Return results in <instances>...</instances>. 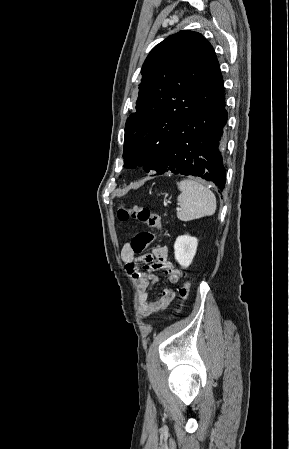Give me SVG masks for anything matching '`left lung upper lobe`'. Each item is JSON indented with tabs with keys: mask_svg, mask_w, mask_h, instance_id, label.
<instances>
[{
	"mask_svg": "<svg viewBox=\"0 0 289 449\" xmlns=\"http://www.w3.org/2000/svg\"><path fill=\"white\" fill-rule=\"evenodd\" d=\"M215 60L211 44L189 30L151 50L141 69L136 112L126 121L125 167L143 166L146 172H157L175 126L191 111Z\"/></svg>",
	"mask_w": 289,
	"mask_h": 449,
	"instance_id": "left-lung-upper-lobe-1",
	"label": "left lung upper lobe"
}]
</instances>
